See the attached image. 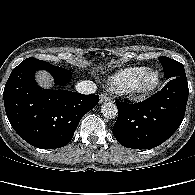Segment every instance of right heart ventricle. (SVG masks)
Here are the masks:
<instances>
[{
	"instance_id": "1",
	"label": "right heart ventricle",
	"mask_w": 195,
	"mask_h": 195,
	"mask_svg": "<svg viewBox=\"0 0 195 195\" xmlns=\"http://www.w3.org/2000/svg\"><path fill=\"white\" fill-rule=\"evenodd\" d=\"M145 67H129L114 73L109 79L110 88L118 93H126L130 90L132 82L143 72Z\"/></svg>"
}]
</instances>
